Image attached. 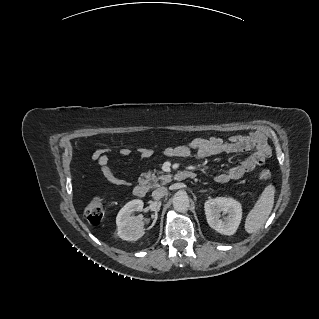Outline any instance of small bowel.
<instances>
[{
	"label": "small bowel",
	"instance_id": "1",
	"mask_svg": "<svg viewBox=\"0 0 319 319\" xmlns=\"http://www.w3.org/2000/svg\"><path fill=\"white\" fill-rule=\"evenodd\" d=\"M267 145L264 134L253 132L246 136H231L228 139L211 137V138H194L189 142L177 146L168 147L164 154L167 157L185 158L194 156L199 159L211 156L242 153L252 151V154L243 159L239 164L221 171L215 175L217 183H226L232 180H238L244 174L253 171L257 166L262 165L269 154H266ZM110 152L108 148L97 149L92 154V159L96 162L103 176L112 184L125 187L128 181L119 176L110 164ZM117 152L121 156H129L131 149L128 146H120ZM138 154L142 159H148L152 155V150L148 147H140Z\"/></svg>",
	"mask_w": 319,
	"mask_h": 319
}]
</instances>
